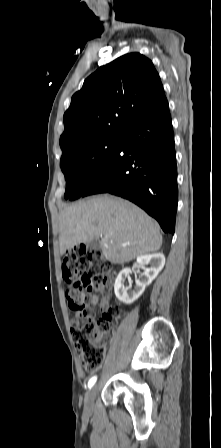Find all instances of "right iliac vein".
<instances>
[{"mask_svg":"<svg viewBox=\"0 0 221 448\" xmlns=\"http://www.w3.org/2000/svg\"><path fill=\"white\" fill-rule=\"evenodd\" d=\"M97 386H94L85 396L86 411H91L93 407L94 398L96 396Z\"/></svg>","mask_w":221,"mask_h":448,"instance_id":"63e3f726","label":"right iliac vein"}]
</instances>
